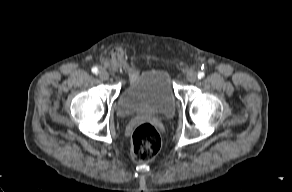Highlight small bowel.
<instances>
[{
    "instance_id": "small-bowel-1",
    "label": "small bowel",
    "mask_w": 292,
    "mask_h": 192,
    "mask_svg": "<svg viewBox=\"0 0 292 192\" xmlns=\"http://www.w3.org/2000/svg\"><path fill=\"white\" fill-rule=\"evenodd\" d=\"M125 146H126L127 148H130V147L132 146V143H131L130 141H127V142L125 143Z\"/></svg>"
}]
</instances>
